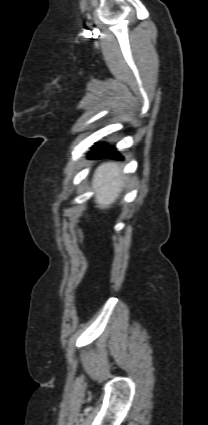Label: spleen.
Masks as SVG:
<instances>
[{
	"mask_svg": "<svg viewBox=\"0 0 208 425\" xmlns=\"http://www.w3.org/2000/svg\"><path fill=\"white\" fill-rule=\"evenodd\" d=\"M126 177L121 175V168L115 163L100 165L93 177L96 190L95 202L100 208H107L115 202L122 191Z\"/></svg>",
	"mask_w": 208,
	"mask_h": 425,
	"instance_id": "spleen-1",
	"label": "spleen"
}]
</instances>
